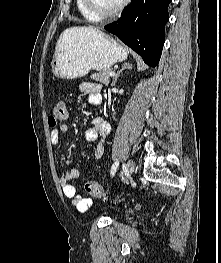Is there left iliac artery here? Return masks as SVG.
I'll return each mask as SVG.
<instances>
[{
  "label": "left iliac artery",
  "mask_w": 221,
  "mask_h": 263,
  "mask_svg": "<svg viewBox=\"0 0 221 263\" xmlns=\"http://www.w3.org/2000/svg\"><path fill=\"white\" fill-rule=\"evenodd\" d=\"M118 165H119V161H116V162L112 165V167H111V175H112V176L115 174Z\"/></svg>",
  "instance_id": "left-iliac-artery-1"
}]
</instances>
